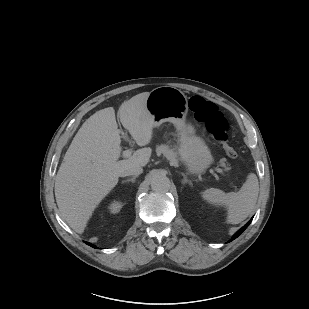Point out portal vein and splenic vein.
<instances>
[{
  "label": "portal vein and splenic vein",
  "mask_w": 309,
  "mask_h": 309,
  "mask_svg": "<svg viewBox=\"0 0 309 309\" xmlns=\"http://www.w3.org/2000/svg\"><path fill=\"white\" fill-rule=\"evenodd\" d=\"M124 137L127 139L126 136H124ZM130 155H131V151H130V150H125V151L123 152V156H124V157H129ZM214 170H215L217 173H220V174H222V175H225L224 172H223V170H222L221 168L215 167Z\"/></svg>",
  "instance_id": "1"
}]
</instances>
